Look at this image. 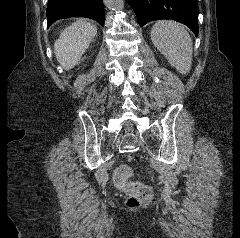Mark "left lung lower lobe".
Segmentation results:
<instances>
[{
  "mask_svg": "<svg viewBox=\"0 0 240 238\" xmlns=\"http://www.w3.org/2000/svg\"><path fill=\"white\" fill-rule=\"evenodd\" d=\"M133 8L139 25L157 19H171L187 25L198 35L197 0H127Z\"/></svg>",
  "mask_w": 240,
  "mask_h": 238,
  "instance_id": "left-lung-lower-lobe-1",
  "label": "left lung lower lobe"
}]
</instances>
